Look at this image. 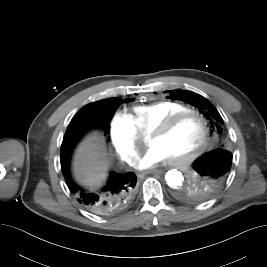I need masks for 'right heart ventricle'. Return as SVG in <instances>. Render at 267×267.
<instances>
[{
	"mask_svg": "<svg viewBox=\"0 0 267 267\" xmlns=\"http://www.w3.org/2000/svg\"><path fill=\"white\" fill-rule=\"evenodd\" d=\"M188 109L187 106L178 102L159 101L134 107L128 117L139 133L149 134L171 115Z\"/></svg>",
	"mask_w": 267,
	"mask_h": 267,
	"instance_id": "e07e8e85",
	"label": "right heart ventricle"
}]
</instances>
